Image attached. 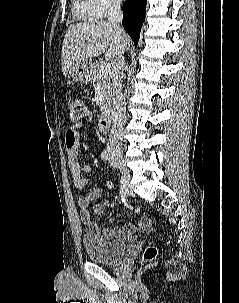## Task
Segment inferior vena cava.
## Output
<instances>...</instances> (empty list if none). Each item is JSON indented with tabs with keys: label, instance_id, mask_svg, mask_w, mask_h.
<instances>
[{
	"label": "inferior vena cava",
	"instance_id": "602c4592",
	"mask_svg": "<svg viewBox=\"0 0 239 303\" xmlns=\"http://www.w3.org/2000/svg\"><path fill=\"white\" fill-rule=\"evenodd\" d=\"M122 19L123 14L120 0H113L108 22L114 26L119 35L123 33V30L120 27ZM123 67L124 51L119 50L115 56V63L112 69V128L108 140V148L110 150H121L122 148V133L126 121V108L122 90Z\"/></svg>",
	"mask_w": 239,
	"mask_h": 303
}]
</instances>
